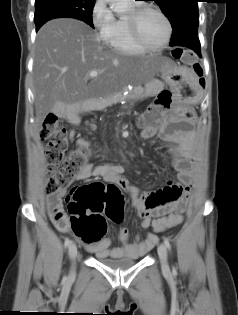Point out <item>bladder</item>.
Listing matches in <instances>:
<instances>
[{"instance_id":"obj_1","label":"bladder","mask_w":238,"mask_h":315,"mask_svg":"<svg viewBox=\"0 0 238 315\" xmlns=\"http://www.w3.org/2000/svg\"><path fill=\"white\" fill-rule=\"evenodd\" d=\"M137 258H128L123 260H115V259H107L100 258L99 262H101L104 266L113 269V270H124L127 269L134 264L137 263Z\"/></svg>"}]
</instances>
